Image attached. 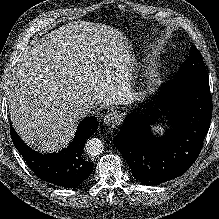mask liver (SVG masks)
I'll list each match as a JSON object with an SVG mask.
<instances>
[{
	"mask_svg": "<svg viewBox=\"0 0 219 219\" xmlns=\"http://www.w3.org/2000/svg\"><path fill=\"white\" fill-rule=\"evenodd\" d=\"M123 40L110 26L77 21L34 41L19 56L7 101L13 127L25 143L56 152L77 130L82 118L75 110L78 103H125V66L119 61Z\"/></svg>",
	"mask_w": 219,
	"mask_h": 219,
	"instance_id": "6515ba94",
	"label": "liver"
}]
</instances>
